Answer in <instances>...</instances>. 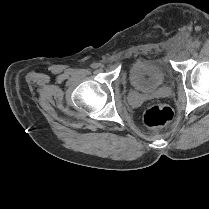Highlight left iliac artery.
<instances>
[{"instance_id":"left-iliac-artery-1","label":"left iliac artery","mask_w":209,"mask_h":209,"mask_svg":"<svg viewBox=\"0 0 209 209\" xmlns=\"http://www.w3.org/2000/svg\"><path fill=\"white\" fill-rule=\"evenodd\" d=\"M199 46H200V42H199V41H195V42H194V47H195V48H198Z\"/></svg>"}]
</instances>
